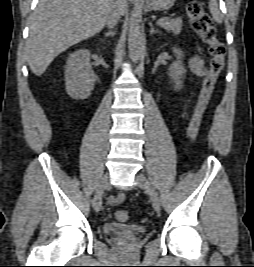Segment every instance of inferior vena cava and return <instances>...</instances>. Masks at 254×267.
I'll return each mask as SVG.
<instances>
[{
    "instance_id": "602c4592",
    "label": "inferior vena cava",
    "mask_w": 254,
    "mask_h": 267,
    "mask_svg": "<svg viewBox=\"0 0 254 267\" xmlns=\"http://www.w3.org/2000/svg\"><path fill=\"white\" fill-rule=\"evenodd\" d=\"M118 2V0L115 1V5H113L111 12L106 19V25L108 28H114L120 19Z\"/></svg>"
}]
</instances>
